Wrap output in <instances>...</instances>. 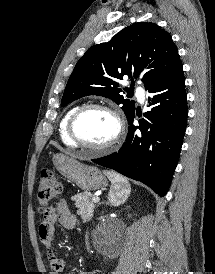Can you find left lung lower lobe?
<instances>
[{
    "label": "left lung lower lobe",
    "instance_id": "1",
    "mask_svg": "<svg viewBox=\"0 0 215 274\" xmlns=\"http://www.w3.org/2000/svg\"><path fill=\"white\" fill-rule=\"evenodd\" d=\"M146 90L151 94L148 105L152 106L144 114L147 120L133 125L134 111L127 118L129 132L124 145L117 152L92 161L148 185L163 197L178 163L187 125L183 66Z\"/></svg>",
    "mask_w": 215,
    "mask_h": 274
}]
</instances>
